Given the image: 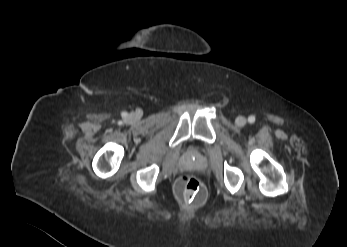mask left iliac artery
Segmentation results:
<instances>
[{
    "label": "left iliac artery",
    "mask_w": 347,
    "mask_h": 247,
    "mask_svg": "<svg viewBox=\"0 0 347 247\" xmlns=\"http://www.w3.org/2000/svg\"><path fill=\"white\" fill-rule=\"evenodd\" d=\"M248 122L251 123V124L254 123L255 122V116H253V115L249 116L248 117Z\"/></svg>",
    "instance_id": "1"
}]
</instances>
